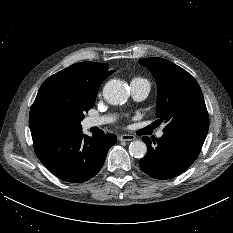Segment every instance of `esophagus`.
Returning a JSON list of instances; mask_svg holds the SVG:
<instances>
[{
    "label": "esophagus",
    "instance_id": "1",
    "mask_svg": "<svg viewBox=\"0 0 233 233\" xmlns=\"http://www.w3.org/2000/svg\"><path fill=\"white\" fill-rule=\"evenodd\" d=\"M118 139L120 141H132V140H135L136 137L134 135H131V134H122L118 137Z\"/></svg>",
    "mask_w": 233,
    "mask_h": 233
}]
</instances>
